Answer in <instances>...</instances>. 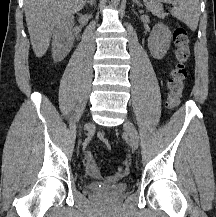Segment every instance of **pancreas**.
<instances>
[{
	"label": "pancreas",
	"instance_id": "pancreas-1",
	"mask_svg": "<svg viewBox=\"0 0 216 217\" xmlns=\"http://www.w3.org/2000/svg\"><path fill=\"white\" fill-rule=\"evenodd\" d=\"M145 5L149 11L159 18H164L166 13L163 11V7L157 3V0H145Z\"/></svg>",
	"mask_w": 216,
	"mask_h": 217
}]
</instances>
